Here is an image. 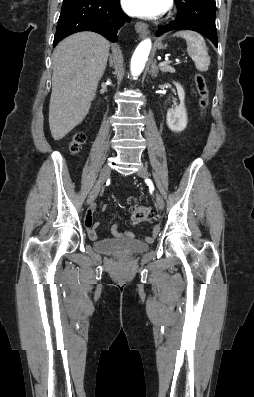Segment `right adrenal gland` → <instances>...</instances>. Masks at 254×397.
<instances>
[{"label":"right adrenal gland","instance_id":"obj_1","mask_svg":"<svg viewBox=\"0 0 254 397\" xmlns=\"http://www.w3.org/2000/svg\"><path fill=\"white\" fill-rule=\"evenodd\" d=\"M109 62H110V66H113V61H112V58H111V56H110V60H109Z\"/></svg>","mask_w":254,"mask_h":397}]
</instances>
